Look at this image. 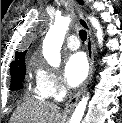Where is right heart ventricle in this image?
I'll return each instance as SVG.
<instances>
[{
    "label": "right heart ventricle",
    "mask_w": 122,
    "mask_h": 123,
    "mask_svg": "<svg viewBox=\"0 0 122 123\" xmlns=\"http://www.w3.org/2000/svg\"><path fill=\"white\" fill-rule=\"evenodd\" d=\"M36 92V91H35ZM36 94L38 95V96H40V97H42L41 95H39L37 92H36Z\"/></svg>",
    "instance_id": "1"
}]
</instances>
